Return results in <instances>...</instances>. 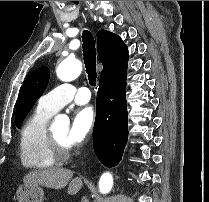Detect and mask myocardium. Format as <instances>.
Returning <instances> with one entry per match:
<instances>
[{
	"label": "myocardium",
	"instance_id": "1",
	"mask_svg": "<svg viewBox=\"0 0 209 202\" xmlns=\"http://www.w3.org/2000/svg\"><path fill=\"white\" fill-rule=\"evenodd\" d=\"M48 139L57 157L61 159L69 157L70 148L67 143L59 140L51 131H48Z\"/></svg>",
	"mask_w": 209,
	"mask_h": 202
}]
</instances>
